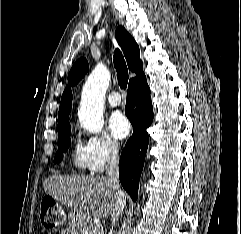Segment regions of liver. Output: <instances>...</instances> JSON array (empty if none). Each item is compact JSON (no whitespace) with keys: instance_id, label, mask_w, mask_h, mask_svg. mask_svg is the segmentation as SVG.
<instances>
[{"instance_id":"liver-1","label":"liver","mask_w":241,"mask_h":234,"mask_svg":"<svg viewBox=\"0 0 241 234\" xmlns=\"http://www.w3.org/2000/svg\"><path fill=\"white\" fill-rule=\"evenodd\" d=\"M43 188L55 200L86 219L89 211L96 217H107L117 199L107 177L98 175H52L45 179Z\"/></svg>"}]
</instances>
